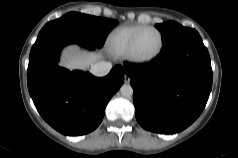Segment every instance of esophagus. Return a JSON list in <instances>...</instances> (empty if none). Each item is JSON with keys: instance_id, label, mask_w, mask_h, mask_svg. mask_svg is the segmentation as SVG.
Here are the masks:
<instances>
[{"instance_id": "34e87169", "label": "esophagus", "mask_w": 238, "mask_h": 158, "mask_svg": "<svg viewBox=\"0 0 238 158\" xmlns=\"http://www.w3.org/2000/svg\"><path fill=\"white\" fill-rule=\"evenodd\" d=\"M130 80H131V78H130L128 75H125V76H124V81H125V83H129Z\"/></svg>"}]
</instances>
